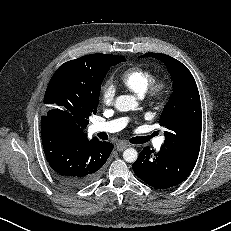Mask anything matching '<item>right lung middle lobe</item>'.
Returning a JSON list of instances; mask_svg holds the SVG:
<instances>
[{
  "label": "right lung middle lobe",
  "mask_w": 231,
  "mask_h": 231,
  "mask_svg": "<svg viewBox=\"0 0 231 231\" xmlns=\"http://www.w3.org/2000/svg\"><path fill=\"white\" fill-rule=\"evenodd\" d=\"M126 59L104 54L86 55L61 65L44 96L46 116L66 126H86L97 113L101 84L111 66Z\"/></svg>",
  "instance_id": "right-lung-middle-lobe-1"
}]
</instances>
